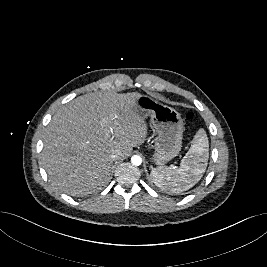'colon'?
I'll list each match as a JSON object with an SVG mask.
<instances>
[{
    "label": "colon",
    "instance_id": "5ec220e1",
    "mask_svg": "<svg viewBox=\"0 0 267 267\" xmlns=\"http://www.w3.org/2000/svg\"><path fill=\"white\" fill-rule=\"evenodd\" d=\"M186 118H187L188 120H192V119L194 118V114H193L192 112H188V113L186 114Z\"/></svg>",
    "mask_w": 267,
    "mask_h": 267
}]
</instances>
